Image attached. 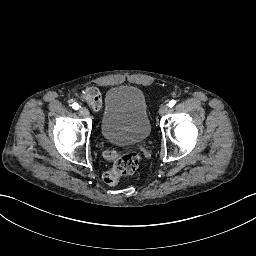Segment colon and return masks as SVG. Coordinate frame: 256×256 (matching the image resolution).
<instances>
[{
    "label": "colon",
    "mask_w": 256,
    "mask_h": 256,
    "mask_svg": "<svg viewBox=\"0 0 256 256\" xmlns=\"http://www.w3.org/2000/svg\"><path fill=\"white\" fill-rule=\"evenodd\" d=\"M108 157L117 158L116 153L105 152ZM140 162V156L136 151L125 154L124 157L119 159L118 163H114L113 167L102 176V180L110 185H117L119 179L123 176L132 174L138 167Z\"/></svg>",
    "instance_id": "obj_1"
}]
</instances>
